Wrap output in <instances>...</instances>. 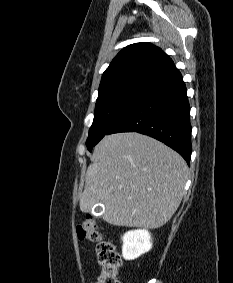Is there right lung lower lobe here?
I'll return each instance as SVG.
<instances>
[{"mask_svg": "<svg viewBox=\"0 0 233 283\" xmlns=\"http://www.w3.org/2000/svg\"><path fill=\"white\" fill-rule=\"evenodd\" d=\"M118 132L151 136L190 163V106L185 83L177 68L150 81L108 134Z\"/></svg>", "mask_w": 233, "mask_h": 283, "instance_id": "98d812e1", "label": "right lung lower lobe"}]
</instances>
